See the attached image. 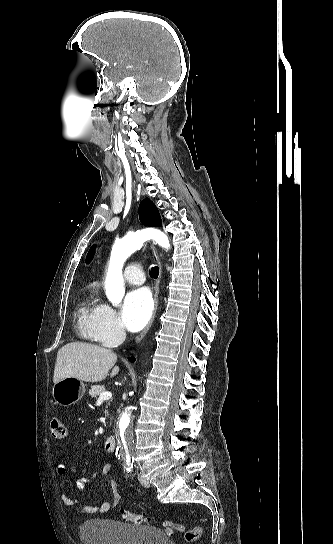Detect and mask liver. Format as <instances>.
I'll use <instances>...</instances> for the list:
<instances>
[{"mask_svg": "<svg viewBox=\"0 0 333 544\" xmlns=\"http://www.w3.org/2000/svg\"><path fill=\"white\" fill-rule=\"evenodd\" d=\"M117 355L112 350L83 342H71L61 347L57 353L54 369V383L75 377L85 382L104 380L111 368V377L119 372L114 366Z\"/></svg>", "mask_w": 333, "mask_h": 544, "instance_id": "liver-1", "label": "liver"}]
</instances>
